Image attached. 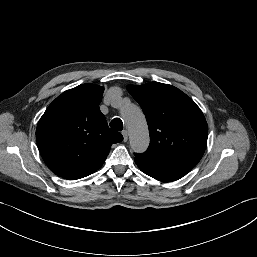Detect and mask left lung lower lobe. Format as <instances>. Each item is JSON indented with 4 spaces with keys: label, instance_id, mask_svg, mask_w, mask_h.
<instances>
[{
    "label": "left lung lower lobe",
    "instance_id": "1",
    "mask_svg": "<svg viewBox=\"0 0 257 257\" xmlns=\"http://www.w3.org/2000/svg\"><path fill=\"white\" fill-rule=\"evenodd\" d=\"M136 164L142 172L151 176L152 178L163 181L171 182L178 180L186 175L194 166H179V167H166L153 164L144 163L135 159Z\"/></svg>",
    "mask_w": 257,
    "mask_h": 257
}]
</instances>
